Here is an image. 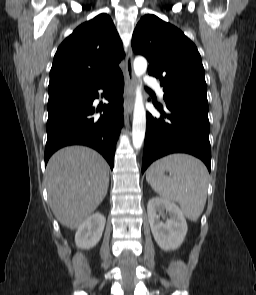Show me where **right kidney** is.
I'll list each match as a JSON object with an SVG mask.
<instances>
[{
  "label": "right kidney",
  "instance_id": "ca27d5eb",
  "mask_svg": "<svg viewBox=\"0 0 256 295\" xmlns=\"http://www.w3.org/2000/svg\"><path fill=\"white\" fill-rule=\"evenodd\" d=\"M106 219L101 213L92 214L77 229L75 243L78 248L90 249L101 239Z\"/></svg>",
  "mask_w": 256,
  "mask_h": 295
}]
</instances>
